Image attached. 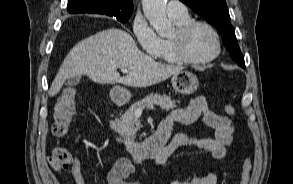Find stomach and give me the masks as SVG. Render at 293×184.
Instances as JSON below:
<instances>
[{
  "mask_svg": "<svg viewBox=\"0 0 293 184\" xmlns=\"http://www.w3.org/2000/svg\"><path fill=\"white\" fill-rule=\"evenodd\" d=\"M171 82L174 90L182 95H191L199 87L197 76L189 71H180L173 75ZM110 96L115 102H124L130 97V92L123 87L115 86L111 89Z\"/></svg>",
  "mask_w": 293,
  "mask_h": 184,
  "instance_id": "stomach-1",
  "label": "stomach"
}]
</instances>
